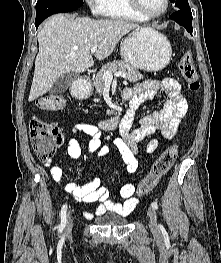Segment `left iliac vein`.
Wrapping results in <instances>:
<instances>
[{"label": "left iliac vein", "mask_w": 221, "mask_h": 263, "mask_svg": "<svg viewBox=\"0 0 221 263\" xmlns=\"http://www.w3.org/2000/svg\"><path fill=\"white\" fill-rule=\"evenodd\" d=\"M148 217H149V227L153 233H157L159 231L158 223H157V215L156 211L153 207L148 208Z\"/></svg>", "instance_id": "obj_1"}]
</instances>
